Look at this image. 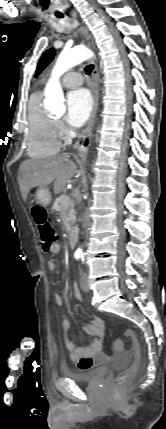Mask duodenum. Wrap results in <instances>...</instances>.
Instances as JSON below:
<instances>
[{
  "instance_id": "duodenum-1",
  "label": "duodenum",
  "mask_w": 166,
  "mask_h": 429,
  "mask_svg": "<svg viewBox=\"0 0 166 429\" xmlns=\"http://www.w3.org/2000/svg\"><path fill=\"white\" fill-rule=\"evenodd\" d=\"M68 244L70 247H74L76 244V232L75 230H71L68 234Z\"/></svg>"
}]
</instances>
